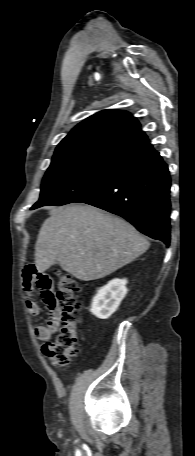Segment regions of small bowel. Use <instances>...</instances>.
Segmentation results:
<instances>
[{
    "label": "small bowel",
    "mask_w": 195,
    "mask_h": 456,
    "mask_svg": "<svg viewBox=\"0 0 195 456\" xmlns=\"http://www.w3.org/2000/svg\"><path fill=\"white\" fill-rule=\"evenodd\" d=\"M34 286L40 290L43 301L50 312L48 325L36 326L34 334L41 341H49L59 322V310L53 292L52 279L48 274L38 271L34 264H28L23 270V287L29 293ZM26 308L31 316H38L41 313L38 303L30 298L26 300Z\"/></svg>",
    "instance_id": "1"
}]
</instances>
